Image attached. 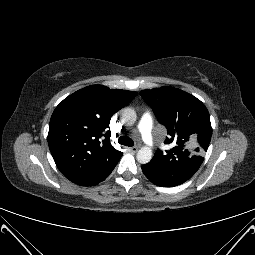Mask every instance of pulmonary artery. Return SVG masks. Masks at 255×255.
<instances>
[{"label": "pulmonary artery", "instance_id": "obj_1", "mask_svg": "<svg viewBox=\"0 0 255 255\" xmlns=\"http://www.w3.org/2000/svg\"><path fill=\"white\" fill-rule=\"evenodd\" d=\"M138 129L142 135L143 140L149 146H153L154 144V139L152 135L153 119L150 113L146 112L142 115L138 124Z\"/></svg>", "mask_w": 255, "mask_h": 255}]
</instances>
